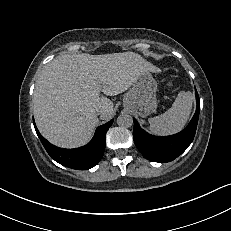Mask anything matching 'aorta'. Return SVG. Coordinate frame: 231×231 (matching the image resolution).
Instances as JSON below:
<instances>
[{
    "label": "aorta",
    "instance_id": "762f6f07",
    "mask_svg": "<svg viewBox=\"0 0 231 231\" xmlns=\"http://www.w3.org/2000/svg\"><path fill=\"white\" fill-rule=\"evenodd\" d=\"M117 124L123 128H129L133 125V118L129 114H121L117 118Z\"/></svg>",
    "mask_w": 231,
    "mask_h": 231
}]
</instances>
